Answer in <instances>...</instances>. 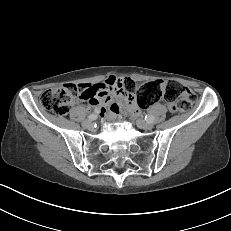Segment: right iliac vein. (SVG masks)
Here are the masks:
<instances>
[{
  "label": "right iliac vein",
  "mask_w": 231,
  "mask_h": 231,
  "mask_svg": "<svg viewBox=\"0 0 231 231\" xmlns=\"http://www.w3.org/2000/svg\"><path fill=\"white\" fill-rule=\"evenodd\" d=\"M83 127L85 128H89L92 126V122L91 120H85L83 123H82Z\"/></svg>",
  "instance_id": "obj_1"
}]
</instances>
